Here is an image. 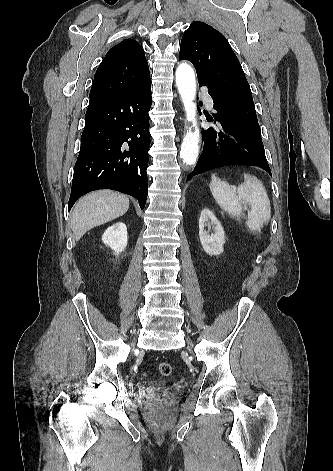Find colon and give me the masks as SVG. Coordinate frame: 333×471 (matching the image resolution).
Here are the masks:
<instances>
[{
	"instance_id": "5ec220e1",
	"label": "colon",
	"mask_w": 333,
	"mask_h": 471,
	"mask_svg": "<svg viewBox=\"0 0 333 471\" xmlns=\"http://www.w3.org/2000/svg\"><path fill=\"white\" fill-rule=\"evenodd\" d=\"M158 369L160 374L164 377L169 376L172 372V366L168 362H161Z\"/></svg>"
}]
</instances>
